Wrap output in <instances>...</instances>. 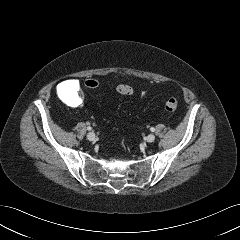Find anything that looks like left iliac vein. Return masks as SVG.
Masks as SVG:
<instances>
[{
    "mask_svg": "<svg viewBox=\"0 0 240 240\" xmlns=\"http://www.w3.org/2000/svg\"><path fill=\"white\" fill-rule=\"evenodd\" d=\"M145 140H146L148 143H152V142L155 141V135L149 134V135L145 138Z\"/></svg>",
    "mask_w": 240,
    "mask_h": 240,
    "instance_id": "obj_1",
    "label": "left iliac vein"
}]
</instances>
